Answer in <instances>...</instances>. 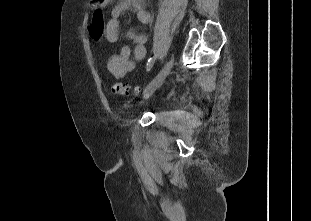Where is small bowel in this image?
Here are the masks:
<instances>
[{
  "label": "small bowel",
  "mask_w": 311,
  "mask_h": 221,
  "mask_svg": "<svg viewBox=\"0 0 311 221\" xmlns=\"http://www.w3.org/2000/svg\"><path fill=\"white\" fill-rule=\"evenodd\" d=\"M129 9L135 12L139 23L146 25L151 22V15L145 10L143 0H121L112 8L111 17L106 25L105 35L109 42L114 43L118 40L119 19ZM127 36L135 43L134 49L132 50L130 46L124 45L118 54L112 55L108 60V71L116 78L124 77L135 68L138 61L146 56L145 34L129 31Z\"/></svg>",
  "instance_id": "small-bowel-1"
}]
</instances>
